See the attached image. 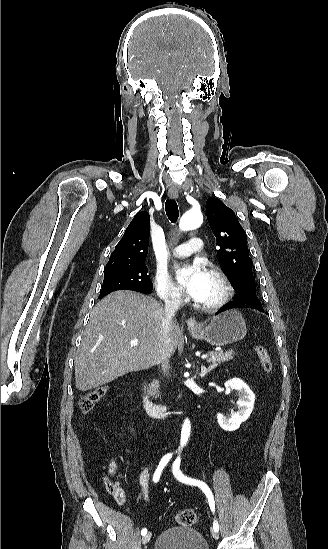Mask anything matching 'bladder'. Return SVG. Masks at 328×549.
<instances>
[{
  "label": "bladder",
  "instance_id": "1",
  "mask_svg": "<svg viewBox=\"0 0 328 549\" xmlns=\"http://www.w3.org/2000/svg\"><path fill=\"white\" fill-rule=\"evenodd\" d=\"M155 549H209L195 528L181 527L163 531L155 541Z\"/></svg>",
  "mask_w": 328,
  "mask_h": 549
}]
</instances>
